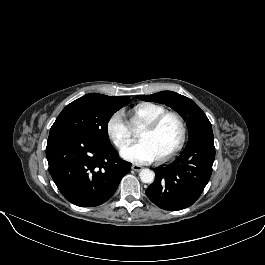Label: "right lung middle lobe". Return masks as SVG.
<instances>
[{
    "instance_id": "right-lung-middle-lobe-1",
    "label": "right lung middle lobe",
    "mask_w": 265,
    "mask_h": 265,
    "mask_svg": "<svg viewBox=\"0 0 265 265\" xmlns=\"http://www.w3.org/2000/svg\"><path fill=\"white\" fill-rule=\"evenodd\" d=\"M129 101L109 104L85 95L68 104L62 110L49 134L60 131H76L109 144L108 122L111 116Z\"/></svg>"
}]
</instances>
